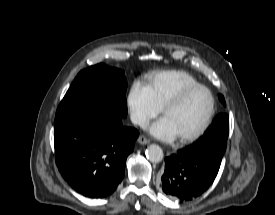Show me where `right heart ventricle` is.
Returning <instances> with one entry per match:
<instances>
[{
	"mask_svg": "<svg viewBox=\"0 0 275 215\" xmlns=\"http://www.w3.org/2000/svg\"><path fill=\"white\" fill-rule=\"evenodd\" d=\"M197 83L192 75L182 70L156 71L146 77V87L160 109L181 89Z\"/></svg>",
	"mask_w": 275,
	"mask_h": 215,
	"instance_id": "right-heart-ventricle-1",
	"label": "right heart ventricle"
}]
</instances>
